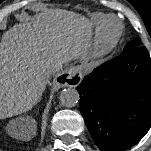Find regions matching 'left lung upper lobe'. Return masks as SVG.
I'll use <instances>...</instances> for the list:
<instances>
[{
	"label": "left lung upper lobe",
	"mask_w": 151,
	"mask_h": 151,
	"mask_svg": "<svg viewBox=\"0 0 151 151\" xmlns=\"http://www.w3.org/2000/svg\"><path fill=\"white\" fill-rule=\"evenodd\" d=\"M136 47H140V46H139L137 40H133V41L129 42V43L125 46L124 52H125V51H128V50H130V49L136 48Z\"/></svg>",
	"instance_id": "5c2ea615"
}]
</instances>
